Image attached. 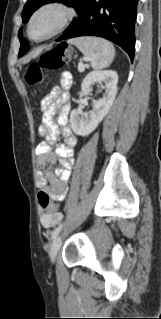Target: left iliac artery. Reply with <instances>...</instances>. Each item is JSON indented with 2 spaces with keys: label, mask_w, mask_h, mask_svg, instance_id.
Here are the masks:
<instances>
[{
  "label": "left iliac artery",
  "mask_w": 161,
  "mask_h": 319,
  "mask_svg": "<svg viewBox=\"0 0 161 319\" xmlns=\"http://www.w3.org/2000/svg\"><path fill=\"white\" fill-rule=\"evenodd\" d=\"M64 223L60 224L51 234V238L54 239L59 232L61 231L62 227H63Z\"/></svg>",
  "instance_id": "obj_1"
}]
</instances>
